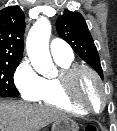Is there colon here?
<instances>
[{
    "label": "colon",
    "instance_id": "5ec220e1",
    "mask_svg": "<svg viewBox=\"0 0 117 131\" xmlns=\"http://www.w3.org/2000/svg\"><path fill=\"white\" fill-rule=\"evenodd\" d=\"M84 131H98V129L94 125H88L84 128Z\"/></svg>",
    "mask_w": 117,
    "mask_h": 131
}]
</instances>
